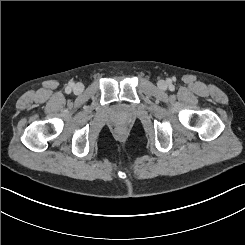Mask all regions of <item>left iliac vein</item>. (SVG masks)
<instances>
[{
  "instance_id": "obj_1",
  "label": "left iliac vein",
  "mask_w": 245,
  "mask_h": 245,
  "mask_svg": "<svg viewBox=\"0 0 245 245\" xmlns=\"http://www.w3.org/2000/svg\"><path fill=\"white\" fill-rule=\"evenodd\" d=\"M158 87L160 89H165L166 88V83L164 80H160L159 83H158Z\"/></svg>"
}]
</instances>
